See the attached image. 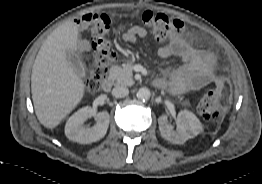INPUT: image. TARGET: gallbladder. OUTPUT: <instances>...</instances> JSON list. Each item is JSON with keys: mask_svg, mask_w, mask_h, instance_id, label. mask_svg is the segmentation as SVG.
Segmentation results:
<instances>
[{"mask_svg": "<svg viewBox=\"0 0 262 184\" xmlns=\"http://www.w3.org/2000/svg\"><path fill=\"white\" fill-rule=\"evenodd\" d=\"M67 60L75 74L80 77H84L86 75L85 65L76 53L69 52L67 55Z\"/></svg>", "mask_w": 262, "mask_h": 184, "instance_id": "obj_1", "label": "gallbladder"}]
</instances>
